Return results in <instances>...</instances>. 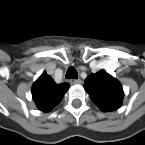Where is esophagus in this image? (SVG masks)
Masks as SVG:
<instances>
[{"instance_id":"obj_1","label":"esophagus","mask_w":145,"mask_h":145,"mask_svg":"<svg viewBox=\"0 0 145 145\" xmlns=\"http://www.w3.org/2000/svg\"><path fill=\"white\" fill-rule=\"evenodd\" d=\"M70 83H72V84H81L82 80L81 79H71Z\"/></svg>"}]
</instances>
